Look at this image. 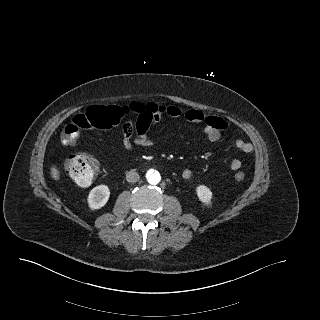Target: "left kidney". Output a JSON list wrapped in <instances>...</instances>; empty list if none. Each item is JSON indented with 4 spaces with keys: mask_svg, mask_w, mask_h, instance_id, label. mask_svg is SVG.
Masks as SVG:
<instances>
[{
    "mask_svg": "<svg viewBox=\"0 0 320 320\" xmlns=\"http://www.w3.org/2000/svg\"><path fill=\"white\" fill-rule=\"evenodd\" d=\"M196 193H197V196L199 198V200L209 206L212 204L211 202V199H212V192L210 191L209 188H207L206 186L204 185H200L196 188Z\"/></svg>",
    "mask_w": 320,
    "mask_h": 320,
    "instance_id": "5707ae66",
    "label": "left kidney"
}]
</instances>
